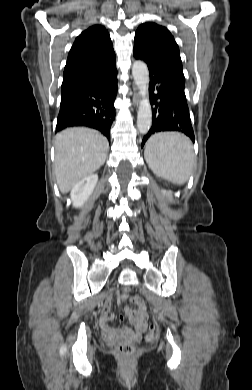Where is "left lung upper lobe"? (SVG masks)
I'll use <instances>...</instances> for the list:
<instances>
[{"label": "left lung upper lobe", "instance_id": "1", "mask_svg": "<svg viewBox=\"0 0 252 390\" xmlns=\"http://www.w3.org/2000/svg\"><path fill=\"white\" fill-rule=\"evenodd\" d=\"M134 51L185 79L178 45L167 28L152 22L141 24L135 33Z\"/></svg>", "mask_w": 252, "mask_h": 390}]
</instances>
